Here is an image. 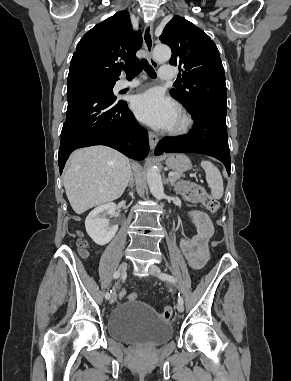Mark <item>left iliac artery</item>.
Returning a JSON list of instances; mask_svg holds the SVG:
<instances>
[{"label": "left iliac artery", "instance_id": "44dca946", "mask_svg": "<svg viewBox=\"0 0 291 381\" xmlns=\"http://www.w3.org/2000/svg\"><path fill=\"white\" fill-rule=\"evenodd\" d=\"M159 278L162 279V280H167V281H169L171 283H176V279L172 275L167 274V273L160 274ZM178 301L183 303V297L180 294L178 296Z\"/></svg>", "mask_w": 291, "mask_h": 381}]
</instances>
